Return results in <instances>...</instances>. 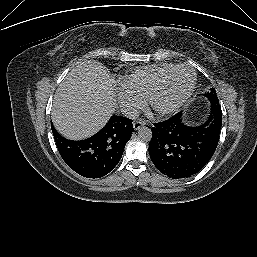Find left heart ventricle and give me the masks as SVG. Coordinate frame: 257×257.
<instances>
[{
    "instance_id": "obj_1",
    "label": "left heart ventricle",
    "mask_w": 257,
    "mask_h": 257,
    "mask_svg": "<svg viewBox=\"0 0 257 257\" xmlns=\"http://www.w3.org/2000/svg\"><path fill=\"white\" fill-rule=\"evenodd\" d=\"M192 80L191 73L185 69L175 71L166 81L157 99L159 106H167L179 99L187 90Z\"/></svg>"
}]
</instances>
